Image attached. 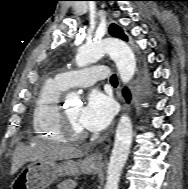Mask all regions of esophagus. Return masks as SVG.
<instances>
[{"mask_svg":"<svg viewBox=\"0 0 188 189\" xmlns=\"http://www.w3.org/2000/svg\"><path fill=\"white\" fill-rule=\"evenodd\" d=\"M102 159V154L99 153V152H96L94 153L92 156H91V160L95 161V162H100Z\"/></svg>","mask_w":188,"mask_h":189,"instance_id":"1","label":"esophagus"}]
</instances>
